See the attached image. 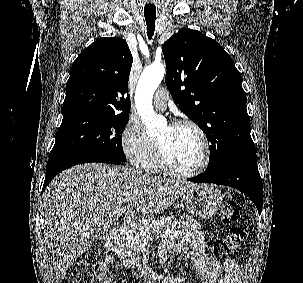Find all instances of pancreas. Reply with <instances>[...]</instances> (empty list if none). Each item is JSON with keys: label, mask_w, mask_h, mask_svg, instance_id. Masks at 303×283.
<instances>
[{"label": "pancreas", "mask_w": 303, "mask_h": 283, "mask_svg": "<svg viewBox=\"0 0 303 283\" xmlns=\"http://www.w3.org/2000/svg\"><path fill=\"white\" fill-rule=\"evenodd\" d=\"M157 222L159 224L131 223L125 227L115 245V250L126 267L130 268L140 264L139 254L142 245L152 239V234L156 239H166L176 230L177 220L174 216L164 217Z\"/></svg>", "instance_id": "1"}]
</instances>
